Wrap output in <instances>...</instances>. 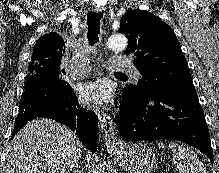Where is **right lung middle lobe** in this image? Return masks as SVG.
<instances>
[{"label":"right lung middle lobe","instance_id":"obj_1","mask_svg":"<svg viewBox=\"0 0 219 173\" xmlns=\"http://www.w3.org/2000/svg\"><path fill=\"white\" fill-rule=\"evenodd\" d=\"M66 72L61 69L60 64L43 62L39 64H29L26 76V86L39 76H49L54 78L64 90H72V87L65 79Z\"/></svg>","mask_w":219,"mask_h":173}]
</instances>
